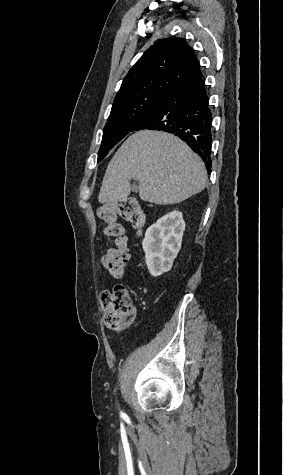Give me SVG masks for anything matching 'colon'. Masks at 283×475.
I'll return each mask as SVG.
<instances>
[{
  "instance_id": "obj_1",
  "label": "colon",
  "mask_w": 283,
  "mask_h": 475,
  "mask_svg": "<svg viewBox=\"0 0 283 475\" xmlns=\"http://www.w3.org/2000/svg\"><path fill=\"white\" fill-rule=\"evenodd\" d=\"M99 219L105 223L104 233L112 241L105 250L103 263L109 274L122 277L130 258L129 249L125 242V229L120 221L126 220L134 229L141 231L146 225V214L138 201L131 197L116 203L104 205L99 210ZM105 317V325L114 331L127 330L134 318V305L127 285L119 284L101 293Z\"/></svg>"
}]
</instances>
